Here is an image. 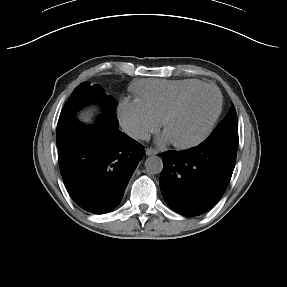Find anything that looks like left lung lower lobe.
<instances>
[{"instance_id": "1", "label": "left lung lower lobe", "mask_w": 287, "mask_h": 287, "mask_svg": "<svg viewBox=\"0 0 287 287\" xmlns=\"http://www.w3.org/2000/svg\"><path fill=\"white\" fill-rule=\"evenodd\" d=\"M162 195L170 208L197 216L221 199L231 179L235 160L206 141L183 151L163 153Z\"/></svg>"}]
</instances>
